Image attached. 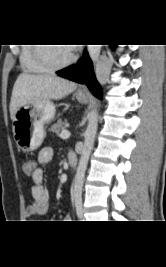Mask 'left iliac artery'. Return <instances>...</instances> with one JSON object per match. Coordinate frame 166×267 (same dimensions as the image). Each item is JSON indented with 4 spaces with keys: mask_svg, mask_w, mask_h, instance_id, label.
Wrapping results in <instances>:
<instances>
[{
    "mask_svg": "<svg viewBox=\"0 0 166 267\" xmlns=\"http://www.w3.org/2000/svg\"><path fill=\"white\" fill-rule=\"evenodd\" d=\"M75 207H76L77 216L79 218H82V216H83V206H82V203L81 202H77L75 204Z\"/></svg>",
    "mask_w": 166,
    "mask_h": 267,
    "instance_id": "obj_1",
    "label": "left iliac artery"
}]
</instances>
